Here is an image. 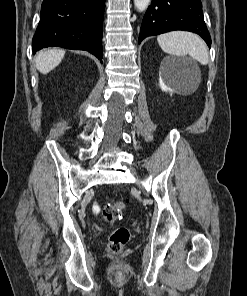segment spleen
<instances>
[{"instance_id":"3e777b00","label":"spleen","mask_w":247,"mask_h":296,"mask_svg":"<svg viewBox=\"0 0 247 296\" xmlns=\"http://www.w3.org/2000/svg\"><path fill=\"white\" fill-rule=\"evenodd\" d=\"M161 49L174 56L189 55L202 65L208 64L209 55L205 42L196 34L172 31L157 37Z\"/></svg>"}]
</instances>
